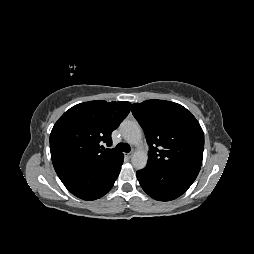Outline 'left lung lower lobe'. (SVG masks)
Instances as JSON below:
<instances>
[{
    "instance_id": "1",
    "label": "left lung lower lobe",
    "mask_w": 254,
    "mask_h": 254,
    "mask_svg": "<svg viewBox=\"0 0 254 254\" xmlns=\"http://www.w3.org/2000/svg\"><path fill=\"white\" fill-rule=\"evenodd\" d=\"M197 176L159 168L148 163L146 168L137 171V178L143 190L159 201L178 198L192 185Z\"/></svg>"
}]
</instances>
